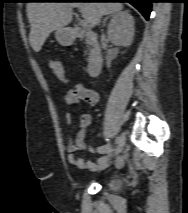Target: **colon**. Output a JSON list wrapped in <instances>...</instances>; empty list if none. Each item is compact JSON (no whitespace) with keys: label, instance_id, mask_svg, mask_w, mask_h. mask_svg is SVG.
Instances as JSON below:
<instances>
[{"label":"colon","instance_id":"5ec220e1","mask_svg":"<svg viewBox=\"0 0 188 213\" xmlns=\"http://www.w3.org/2000/svg\"><path fill=\"white\" fill-rule=\"evenodd\" d=\"M50 68L52 72L59 78L64 79L65 78V72L62 64L57 60H51L50 61Z\"/></svg>","mask_w":188,"mask_h":213}]
</instances>
